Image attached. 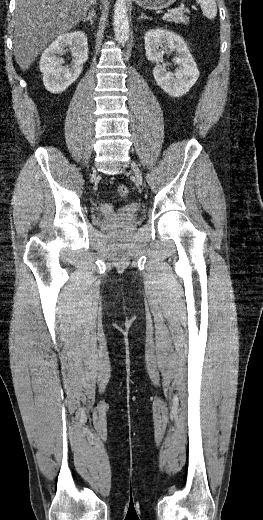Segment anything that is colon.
<instances>
[{
	"mask_svg": "<svg viewBox=\"0 0 263 520\" xmlns=\"http://www.w3.org/2000/svg\"><path fill=\"white\" fill-rule=\"evenodd\" d=\"M116 194L120 198H125L129 194V188L126 185H119L116 189Z\"/></svg>",
	"mask_w": 263,
	"mask_h": 520,
	"instance_id": "1",
	"label": "colon"
}]
</instances>
